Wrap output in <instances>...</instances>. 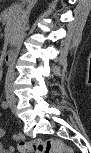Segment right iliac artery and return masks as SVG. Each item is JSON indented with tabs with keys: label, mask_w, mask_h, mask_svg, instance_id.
I'll return each instance as SVG.
<instances>
[{
	"label": "right iliac artery",
	"mask_w": 91,
	"mask_h": 153,
	"mask_svg": "<svg viewBox=\"0 0 91 153\" xmlns=\"http://www.w3.org/2000/svg\"><path fill=\"white\" fill-rule=\"evenodd\" d=\"M1 106L3 109H7L9 107L8 102H6V101H3Z\"/></svg>",
	"instance_id": "1"
}]
</instances>
